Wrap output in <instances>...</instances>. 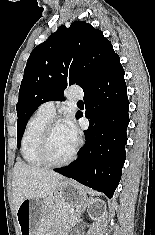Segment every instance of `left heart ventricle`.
<instances>
[{"label": "left heart ventricle", "mask_w": 155, "mask_h": 235, "mask_svg": "<svg viewBox=\"0 0 155 235\" xmlns=\"http://www.w3.org/2000/svg\"><path fill=\"white\" fill-rule=\"evenodd\" d=\"M75 143L68 134L63 124H57L52 132L49 142V156L55 161H60L69 156Z\"/></svg>", "instance_id": "obj_1"}]
</instances>
